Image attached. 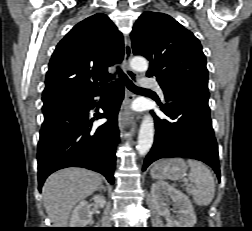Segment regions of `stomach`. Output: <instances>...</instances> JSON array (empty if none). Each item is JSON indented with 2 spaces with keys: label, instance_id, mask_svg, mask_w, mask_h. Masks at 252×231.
<instances>
[{
  "label": "stomach",
  "instance_id": "obj_1",
  "mask_svg": "<svg viewBox=\"0 0 252 231\" xmlns=\"http://www.w3.org/2000/svg\"><path fill=\"white\" fill-rule=\"evenodd\" d=\"M187 165L181 158L165 159L151 169V176L158 180H177L185 174Z\"/></svg>",
  "mask_w": 252,
  "mask_h": 231
}]
</instances>
